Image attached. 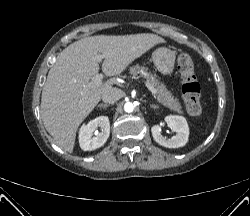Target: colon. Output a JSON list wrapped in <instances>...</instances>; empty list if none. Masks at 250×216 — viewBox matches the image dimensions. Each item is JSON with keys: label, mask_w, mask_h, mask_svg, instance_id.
<instances>
[{"label": "colon", "mask_w": 250, "mask_h": 216, "mask_svg": "<svg viewBox=\"0 0 250 216\" xmlns=\"http://www.w3.org/2000/svg\"><path fill=\"white\" fill-rule=\"evenodd\" d=\"M178 70L182 80V96L188 113L200 117L202 106L200 102V84L194 71V61L187 53L179 55Z\"/></svg>", "instance_id": "obj_1"}]
</instances>
